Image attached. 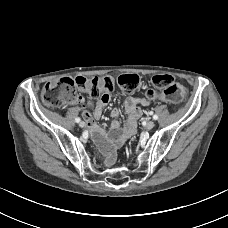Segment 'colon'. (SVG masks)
Wrapping results in <instances>:
<instances>
[{"label":"colon","instance_id":"colon-1","mask_svg":"<svg viewBox=\"0 0 228 228\" xmlns=\"http://www.w3.org/2000/svg\"><path fill=\"white\" fill-rule=\"evenodd\" d=\"M152 82L161 91L160 98L167 102H180L187 94L186 87L175 82L171 75H155L152 78ZM116 84L125 93H132L139 85V77L136 74H123L116 79L111 76L92 78L83 76L75 78L64 77L46 83L41 92V100L45 106L57 108L78 102L80 100L78 92H84L92 98H98L105 93H110ZM147 95L153 98L156 93L153 90H149Z\"/></svg>","mask_w":228,"mask_h":228}]
</instances>
